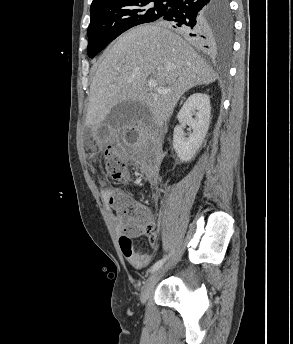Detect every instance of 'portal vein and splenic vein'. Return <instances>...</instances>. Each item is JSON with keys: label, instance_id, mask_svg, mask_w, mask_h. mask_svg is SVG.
Instances as JSON below:
<instances>
[{"label": "portal vein and splenic vein", "instance_id": "1", "mask_svg": "<svg viewBox=\"0 0 293 344\" xmlns=\"http://www.w3.org/2000/svg\"><path fill=\"white\" fill-rule=\"evenodd\" d=\"M148 87H149L150 91H154L155 93H160V94H167L168 93V90L160 89L157 87L156 80H150L148 83Z\"/></svg>", "mask_w": 293, "mask_h": 344}]
</instances>
